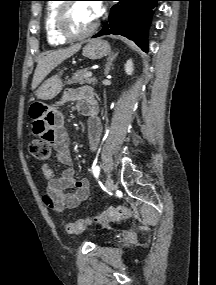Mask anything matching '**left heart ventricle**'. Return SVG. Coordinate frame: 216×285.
<instances>
[{
    "mask_svg": "<svg viewBox=\"0 0 216 285\" xmlns=\"http://www.w3.org/2000/svg\"><path fill=\"white\" fill-rule=\"evenodd\" d=\"M97 20L90 3L77 2L73 5L70 13V26L76 33H81L89 28Z\"/></svg>",
    "mask_w": 216,
    "mask_h": 285,
    "instance_id": "b2bd125f",
    "label": "left heart ventricle"
}]
</instances>
